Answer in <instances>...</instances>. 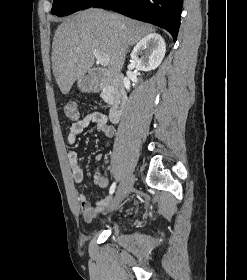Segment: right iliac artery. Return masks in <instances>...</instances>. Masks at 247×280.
Listing matches in <instances>:
<instances>
[{"instance_id":"1","label":"right iliac artery","mask_w":247,"mask_h":280,"mask_svg":"<svg viewBox=\"0 0 247 280\" xmlns=\"http://www.w3.org/2000/svg\"><path fill=\"white\" fill-rule=\"evenodd\" d=\"M115 188H116V182H114V183L111 185V187H110V189H109V193H110V194H113L114 191H115Z\"/></svg>"}]
</instances>
